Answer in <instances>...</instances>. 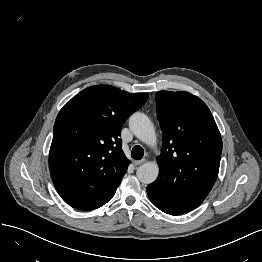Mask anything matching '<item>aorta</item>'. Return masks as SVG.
<instances>
[{
	"instance_id": "762f6f07",
	"label": "aorta",
	"mask_w": 262,
	"mask_h": 262,
	"mask_svg": "<svg viewBox=\"0 0 262 262\" xmlns=\"http://www.w3.org/2000/svg\"><path fill=\"white\" fill-rule=\"evenodd\" d=\"M129 127L134 135L147 145H153L156 141V134L151 120L143 113H134L129 120ZM159 174L158 164L146 162L138 167L136 175L143 184L153 183Z\"/></svg>"
}]
</instances>
